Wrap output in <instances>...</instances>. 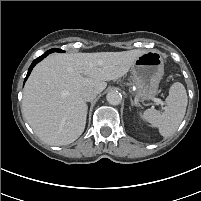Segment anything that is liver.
<instances>
[{
  "label": "liver",
  "mask_w": 201,
  "mask_h": 201,
  "mask_svg": "<svg viewBox=\"0 0 201 201\" xmlns=\"http://www.w3.org/2000/svg\"><path fill=\"white\" fill-rule=\"evenodd\" d=\"M144 51L50 55L35 66L23 92L22 113L35 134L49 145H67L84 131L87 104L81 91L101 93L106 81L129 71Z\"/></svg>",
  "instance_id": "6515ba94"
}]
</instances>
